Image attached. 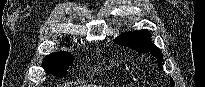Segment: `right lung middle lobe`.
Masks as SVG:
<instances>
[{"instance_id":"right-lung-middle-lobe-1","label":"right lung middle lobe","mask_w":205,"mask_h":87,"mask_svg":"<svg viewBox=\"0 0 205 87\" xmlns=\"http://www.w3.org/2000/svg\"><path fill=\"white\" fill-rule=\"evenodd\" d=\"M73 60L74 58L69 53L56 52L46 56L43 60L42 67L47 73L62 77L66 75L67 69Z\"/></svg>"}]
</instances>
